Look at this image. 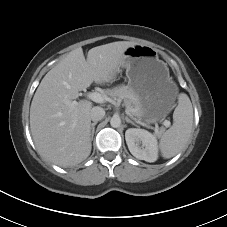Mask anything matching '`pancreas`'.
I'll return each mask as SVG.
<instances>
[{
	"label": "pancreas",
	"mask_w": 227,
	"mask_h": 227,
	"mask_svg": "<svg viewBox=\"0 0 227 227\" xmlns=\"http://www.w3.org/2000/svg\"><path fill=\"white\" fill-rule=\"evenodd\" d=\"M106 94L109 95L111 98L116 99H123L124 105L126 106L127 110L134 116H140V107L139 102L134 94V92L125 85H121L115 87L113 89H109L106 91Z\"/></svg>",
	"instance_id": "1"
}]
</instances>
